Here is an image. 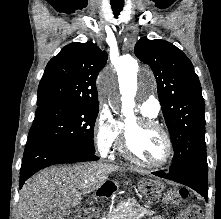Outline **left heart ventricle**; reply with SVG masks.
<instances>
[{
    "label": "left heart ventricle",
    "instance_id": "b2bd125f",
    "mask_svg": "<svg viewBox=\"0 0 221 219\" xmlns=\"http://www.w3.org/2000/svg\"><path fill=\"white\" fill-rule=\"evenodd\" d=\"M126 127L130 147L140 160L150 164H157L163 160L166 153V143L159 131L139 127L133 120L129 121Z\"/></svg>",
    "mask_w": 221,
    "mask_h": 219
}]
</instances>
